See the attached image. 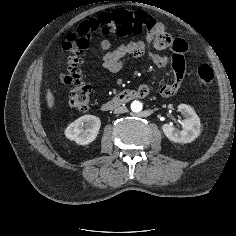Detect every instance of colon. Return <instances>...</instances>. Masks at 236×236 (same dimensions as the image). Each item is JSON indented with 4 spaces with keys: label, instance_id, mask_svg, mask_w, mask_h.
I'll return each mask as SVG.
<instances>
[{
    "label": "colon",
    "instance_id": "obj_1",
    "mask_svg": "<svg viewBox=\"0 0 236 236\" xmlns=\"http://www.w3.org/2000/svg\"><path fill=\"white\" fill-rule=\"evenodd\" d=\"M117 36H140L144 32H153L166 42L172 40L167 30L144 12L118 10L101 14L81 23L65 38L63 50L66 54L67 74L64 83L70 87L69 104L79 109L87 110L92 98L91 86L82 77L79 70L82 53L87 49L89 40L94 33ZM197 78L203 87H208L214 79V71L208 64L197 68Z\"/></svg>",
    "mask_w": 236,
    "mask_h": 236
}]
</instances>
